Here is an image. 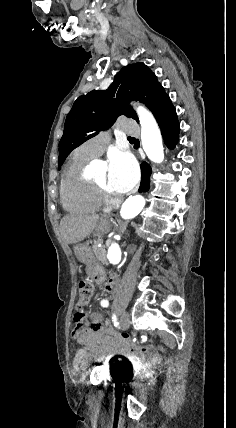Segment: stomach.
Instances as JSON below:
<instances>
[{
  "label": "stomach",
  "mask_w": 236,
  "mask_h": 428,
  "mask_svg": "<svg viewBox=\"0 0 236 428\" xmlns=\"http://www.w3.org/2000/svg\"><path fill=\"white\" fill-rule=\"evenodd\" d=\"M102 228V226H101ZM75 256L81 262H85L86 277L91 280L92 283L102 285L105 280V271L103 262H98L93 258V254L88 244H76L73 248Z\"/></svg>",
  "instance_id": "1"
}]
</instances>
